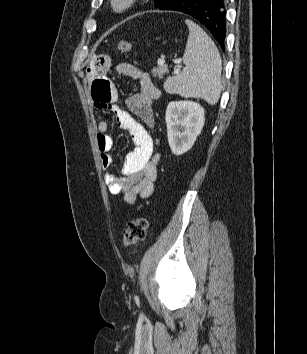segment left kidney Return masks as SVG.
Masks as SVG:
<instances>
[{"label": "left kidney", "mask_w": 307, "mask_h": 354, "mask_svg": "<svg viewBox=\"0 0 307 354\" xmlns=\"http://www.w3.org/2000/svg\"><path fill=\"white\" fill-rule=\"evenodd\" d=\"M165 120L171 151L175 155H182L192 148L201 133L205 111L194 101H172L167 106Z\"/></svg>", "instance_id": "5707ae66"}]
</instances>
